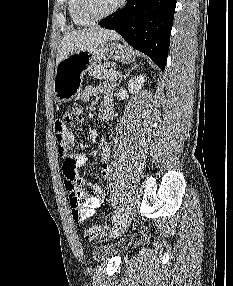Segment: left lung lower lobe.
<instances>
[{
    "label": "left lung lower lobe",
    "mask_w": 233,
    "mask_h": 286,
    "mask_svg": "<svg viewBox=\"0 0 233 286\" xmlns=\"http://www.w3.org/2000/svg\"><path fill=\"white\" fill-rule=\"evenodd\" d=\"M175 7L176 0H128L122 10L104 18L99 25L115 29L163 71Z\"/></svg>",
    "instance_id": "0a47b994"
}]
</instances>
